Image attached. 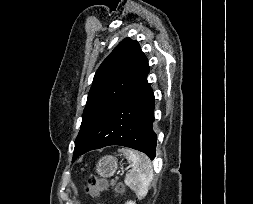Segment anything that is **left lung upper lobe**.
Wrapping results in <instances>:
<instances>
[{"label":"left lung upper lobe","instance_id":"obj_1","mask_svg":"<svg viewBox=\"0 0 253 204\" xmlns=\"http://www.w3.org/2000/svg\"><path fill=\"white\" fill-rule=\"evenodd\" d=\"M148 73V60L138 42L122 40L95 73L73 156L86 144L85 136L91 125L126 99Z\"/></svg>","mask_w":253,"mask_h":204}]
</instances>
